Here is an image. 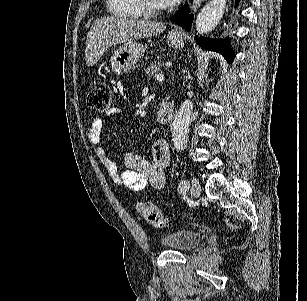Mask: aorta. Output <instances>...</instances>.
Segmentation results:
<instances>
[{
  "label": "aorta",
  "mask_w": 307,
  "mask_h": 301,
  "mask_svg": "<svg viewBox=\"0 0 307 301\" xmlns=\"http://www.w3.org/2000/svg\"><path fill=\"white\" fill-rule=\"evenodd\" d=\"M226 8V0H210L202 10H200L196 18V30L201 34H207L219 24ZM185 98L182 102L175 120H173L170 128L172 130V140L175 148H183L186 144L189 132V124L193 114V100Z\"/></svg>",
  "instance_id": "obj_1"
}]
</instances>
